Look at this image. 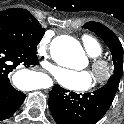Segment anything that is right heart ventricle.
Wrapping results in <instances>:
<instances>
[{
	"label": "right heart ventricle",
	"instance_id": "right-heart-ventricle-1",
	"mask_svg": "<svg viewBox=\"0 0 124 124\" xmlns=\"http://www.w3.org/2000/svg\"><path fill=\"white\" fill-rule=\"evenodd\" d=\"M81 40L85 50L90 56L97 57L102 54V45L95 37L84 35Z\"/></svg>",
	"mask_w": 124,
	"mask_h": 124
}]
</instances>
